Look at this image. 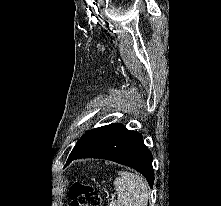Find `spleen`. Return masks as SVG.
<instances>
[{"mask_svg":"<svg viewBox=\"0 0 221 206\" xmlns=\"http://www.w3.org/2000/svg\"><path fill=\"white\" fill-rule=\"evenodd\" d=\"M114 181L118 197L109 206H147V185L137 174L119 171Z\"/></svg>","mask_w":221,"mask_h":206,"instance_id":"spleen-1","label":"spleen"}]
</instances>
